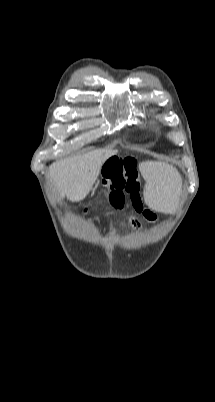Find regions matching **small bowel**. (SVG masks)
Listing matches in <instances>:
<instances>
[{
	"label": "small bowel",
	"mask_w": 215,
	"mask_h": 402,
	"mask_svg": "<svg viewBox=\"0 0 215 402\" xmlns=\"http://www.w3.org/2000/svg\"><path fill=\"white\" fill-rule=\"evenodd\" d=\"M134 227H136V228H139L140 229V224H139V222H137L136 224H135V226Z\"/></svg>",
	"instance_id": "1"
}]
</instances>
